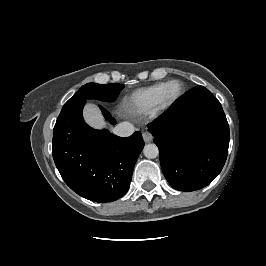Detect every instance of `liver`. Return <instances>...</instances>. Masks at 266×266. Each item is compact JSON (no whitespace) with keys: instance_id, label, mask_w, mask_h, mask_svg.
I'll use <instances>...</instances> for the list:
<instances>
[{"instance_id":"liver-1","label":"liver","mask_w":266,"mask_h":266,"mask_svg":"<svg viewBox=\"0 0 266 266\" xmlns=\"http://www.w3.org/2000/svg\"><path fill=\"white\" fill-rule=\"evenodd\" d=\"M84 119L91 126L96 129L105 127L106 123L101 115L98 107L95 104L88 103L84 108Z\"/></svg>"}]
</instances>
